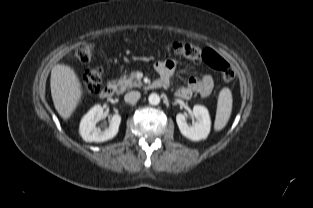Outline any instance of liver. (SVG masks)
Masks as SVG:
<instances>
[{"label": "liver", "mask_w": 313, "mask_h": 208, "mask_svg": "<svg viewBox=\"0 0 313 208\" xmlns=\"http://www.w3.org/2000/svg\"><path fill=\"white\" fill-rule=\"evenodd\" d=\"M50 87L55 109L64 120L69 119L81 98V85L75 72L69 66L55 65Z\"/></svg>", "instance_id": "1"}]
</instances>
